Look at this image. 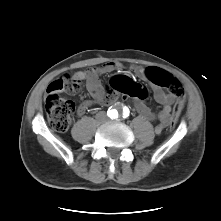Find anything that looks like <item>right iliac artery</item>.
<instances>
[{"label": "right iliac artery", "instance_id": "right-iliac-artery-1", "mask_svg": "<svg viewBox=\"0 0 221 221\" xmlns=\"http://www.w3.org/2000/svg\"><path fill=\"white\" fill-rule=\"evenodd\" d=\"M112 111H114V110H111V112H112ZM109 113H110V111H109ZM114 113H115V114H114V115H115L114 117H116V116H117V112H114ZM111 117H112V116H111ZM114 117H112V118H114Z\"/></svg>", "mask_w": 221, "mask_h": 221}]
</instances>
